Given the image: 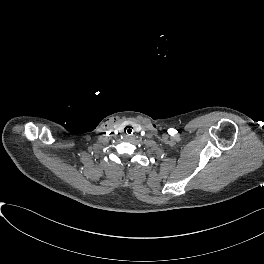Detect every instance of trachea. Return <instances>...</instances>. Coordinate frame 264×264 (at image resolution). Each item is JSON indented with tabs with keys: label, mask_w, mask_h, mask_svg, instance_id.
<instances>
[{
	"label": "trachea",
	"mask_w": 264,
	"mask_h": 264,
	"mask_svg": "<svg viewBox=\"0 0 264 264\" xmlns=\"http://www.w3.org/2000/svg\"><path fill=\"white\" fill-rule=\"evenodd\" d=\"M124 132H125V134H127V135H132L133 134V132H134V130H133V127L132 126H126L125 128H124Z\"/></svg>",
	"instance_id": "3493384b"
}]
</instances>
